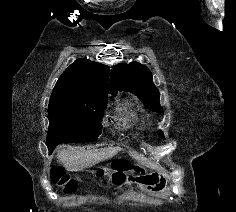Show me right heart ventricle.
I'll use <instances>...</instances> for the list:
<instances>
[{"label":"right heart ventricle","mask_w":236,"mask_h":212,"mask_svg":"<svg viewBox=\"0 0 236 212\" xmlns=\"http://www.w3.org/2000/svg\"><path fill=\"white\" fill-rule=\"evenodd\" d=\"M130 112L128 111L127 107H122L119 109V113L117 115V118L122 123H126L129 120Z\"/></svg>","instance_id":"obj_1"}]
</instances>
